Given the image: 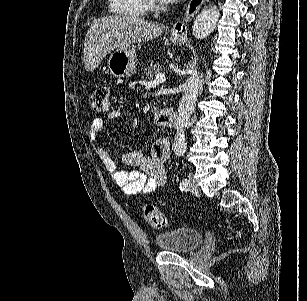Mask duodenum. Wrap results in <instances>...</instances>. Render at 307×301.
I'll use <instances>...</instances> for the list:
<instances>
[{
  "mask_svg": "<svg viewBox=\"0 0 307 301\" xmlns=\"http://www.w3.org/2000/svg\"><path fill=\"white\" fill-rule=\"evenodd\" d=\"M156 122L160 126L172 127L176 122V115L172 108L162 109L156 116Z\"/></svg>",
  "mask_w": 307,
  "mask_h": 301,
  "instance_id": "obj_1",
  "label": "duodenum"
}]
</instances>
